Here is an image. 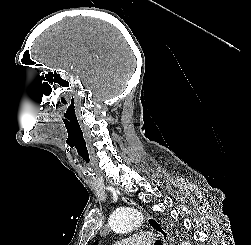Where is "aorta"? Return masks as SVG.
<instances>
[{
  "instance_id": "obj_1",
  "label": "aorta",
  "mask_w": 251,
  "mask_h": 245,
  "mask_svg": "<svg viewBox=\"0 0 251 245\" xmlns=\"http://www.w3.org/2000/svg\"><path fill=\"white\" fill-rule=\"evenodd\" d=\"M109 224L111 229L120 234L136 230L141 224V213L135 208H120L110 216ZM181 245H191L189 241Z\"/></svg>"
}]
</instances>
